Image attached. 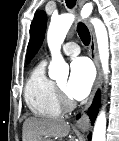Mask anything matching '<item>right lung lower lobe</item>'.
Returning <instances> with one entry per match:
<instances>
[{
    "label": "right lung lower lobe",
    "mask_w": 119,
    "mask_h": 141,
    "mask_svg": "<svg viewBox=\"0 0 119 141\" xmlns=\"http://www.w3.org/2000/svg\"><path fill=\"white\" fill-rule=\"evenodd\" d=\"M99 105H100V92L98 91L94 100H93V104L90 107L89 111H88V115L91 119L92 122L95 121L97 113H98V109H99ZM78 117H80V115H78ZM89 140L91 139V135L88 136Z\"/></svg>",
    "instance_id": "right-lung-lower-lobe-1"
}]
</instances>
